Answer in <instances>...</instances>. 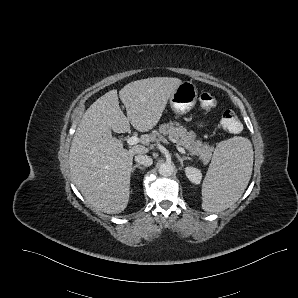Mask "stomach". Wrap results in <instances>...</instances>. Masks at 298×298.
Segmentation results:
<instances>
[{"mask_svg":"<svg viewBox=\"0 0 298 298\" xmlns=\"http://www.w3.org/2000/svg\"><path fill=\"white\" fill-rule=\"evenodd\" d=\"M197 100V86L192 81L184 80L170 96L169 106L175 113L185 114L194 108Z\"/></svg>","mask_w":298,"mask_h":298,"instance_id":"0dacf381","label":"stomach"}]
</instances>
